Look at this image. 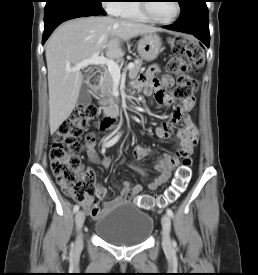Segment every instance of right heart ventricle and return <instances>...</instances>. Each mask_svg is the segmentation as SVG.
Listing matches in <instances>:
<instances>
[{
    "label": "right heart ventricle",
    "mask_w": 258,
    "mask_h": 275,
    "mask_svg": "<svg viewBox=\"0 0 258 275\" xmlns=\"http://www.w3.org/2000/svg\"><path fill=\"white\" fill-rule=\"evenodd\" d=\"M124 2L125 3H121L120 8L116 11L114 15L141 22L150 21L141 11L140 3H138L140 2L139 0H127Z\"/></svg>",
    "instance_id": "obj_1"
}]
</instances>
